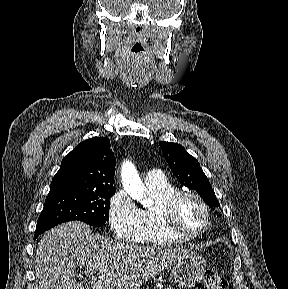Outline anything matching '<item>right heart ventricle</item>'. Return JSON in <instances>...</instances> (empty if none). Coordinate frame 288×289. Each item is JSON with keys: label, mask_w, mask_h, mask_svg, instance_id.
<instances>
[{"label": "right heart ventricle", "mask_w": 288, "mask_h": 289, "mask_svg": "<svg viewBox=\"0 0 288 289\" xmlns=\"http://www.w3.org/2000/svg\"><path fill=\"white\" fill-rule=\"evenodd\" d=\"M148 189L152 193L155 203L142 210L145 227L141 242L153 245H171L182 242L183 239L171 235L162 227L159 217V204L178 189L167 181L162 185L148 186Z\"/></svg>", "instance_id": "1"}]
</instances>
